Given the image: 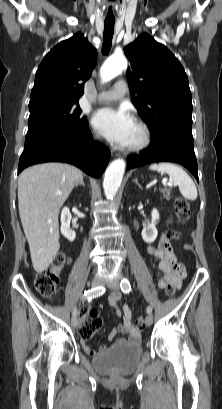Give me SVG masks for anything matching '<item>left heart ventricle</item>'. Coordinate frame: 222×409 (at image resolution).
Instances as JSON below:
<instances>
[{"instance_id":"left-heart-ventricle-1","label":"left heart ventricle","mask_w":222,"mask_h":409,"mask_svg":"<svg viewBox=\"0 0 222 409\" xmlns=\"http://www.w3.org/2000/svg\"><path fill=\"white\" fill-rule=\"evenodd\" d=\"M140 138H141L140 130L135 125L128 145H132V144L137 143L140 140Z\"/></svg>"}]
</instances>
